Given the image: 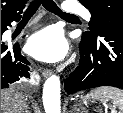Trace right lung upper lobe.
<instances>
[{
	"mask_svg": "<svg viewBox=\"0 0 123 113\" xmlns=\"http://www.w3.org/2000/svg\"><path fill=\"white\" fill-rule=\"evenodd\" d=\"M28 0H1V17L20 15Z\"/></svg>",
	"mask_w": 123,
	"mask_h": 113,
	"instance_id": "obj_1",
	"label": "right lung upper lobe"
}]
</instances>
